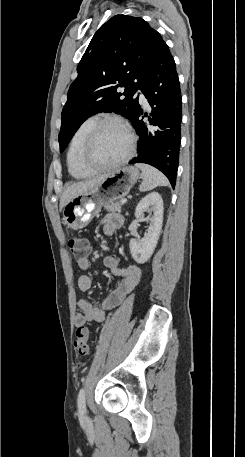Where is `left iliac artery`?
<instances>
[{"label": "left iliac artery", "mask_w": 245, "mask_h": 457, "mask_svg": "<svg viewBox=\"0 0 245 457\" xmlns=\"http://www.w3.org/2000/svg\"><path fill=\"white\" fill-rule=\"evenodd\" d=\"M85 389L81 388L78 394V399H77V404H78V409L81 413H84L86 411V404H85Z\"/></svg>", "instance_id": "left-iliac-artery-1"}]
</instances>
